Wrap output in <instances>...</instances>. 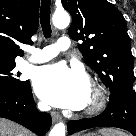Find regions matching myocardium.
Segmentation results:
<instances>
[{
	"label": "myocardium",
	"instance_id": "myocardium-1",
	"mask_svg": "<svg viewBox=\"0 0 136 136\" xmlns=\"http://www.w3.org/2000/svg\"><path fill=\"white\" fill-rule=\"evenodd\" d=\"M93 97L91 102L84 107V113L88 115L100 112L106 105L107 95L105 89L97 82L91 81L89 84Z\"/></svg>",
	"mask_w": 136,
	"mask_h": 136
}]
</instances>
